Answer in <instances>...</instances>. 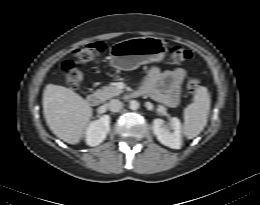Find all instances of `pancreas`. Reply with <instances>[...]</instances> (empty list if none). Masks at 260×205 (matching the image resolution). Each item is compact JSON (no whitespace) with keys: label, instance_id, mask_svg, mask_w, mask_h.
I'll use <instances>...</instances> for the list:
<instances>
[{"label":"pancreas","instance_id":"cf45deb5","mask_svg":"<svg viewBox=\"0 0 260 205\" xmlns=\"http://www.w3.org/2000/svg\"><path fill=\"white\" fill-rule=\"evenodd\" d=\"M123 91L114 86H104L96 91L97 96L102 100L106 101L112 97L118 96Z\"/></svg>","mask_w":260,"mask_h":205}]
</instances>
